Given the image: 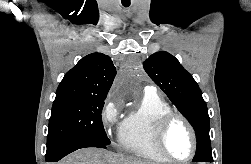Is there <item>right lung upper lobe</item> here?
I'll use <instances>...</instances> for the list:
<instances>
[{
  "mask_svg": "<svg viewBox=\"0 0 251 164\" xmlns=\"http://www.w3.org/2000/svg\"><path fill=\"white\" fill-rule=\"evenodd\" d=\"M115 75L116 68L108 55L92 53L65 74L56 94L106 97Z\"/></svg>",
  "mask_w": 251,
  "mask_h": 164,
  "instance_id": "cb5924a9",
  "label": "right lung upper lobe"
}]
</instances>
